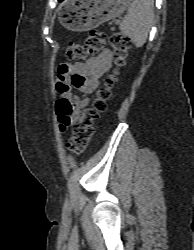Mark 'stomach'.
<instances>
[{"instance_id":"obj_1","label":"stomach","mask_w":194,"mask_h":250,"mask_svg":"<svg viewBox=\"0 0 194 250\" xmlns=\"http://www.w3.org/2000/svg\"><path fill=\"white\" fill-rule=\"evenodd\" d=\"M131 0H65L60 13L64 27L87 31L121 15Z\"/></svg>"}]
</instances>
